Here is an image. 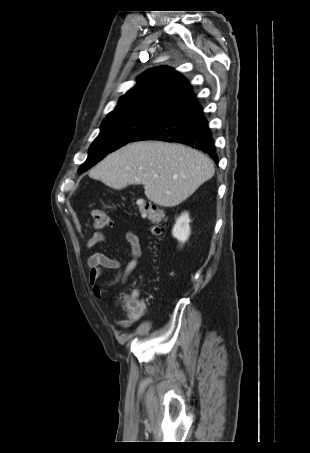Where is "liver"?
<instances>
[{"label": "liver", "instance_id": "obj_1", "mask_svg": "<svg viewBox=\"0 0 310 453\" xmlns=\"http://www.w3.org/2000/svg\"><path fill=\"white\" fill-rule=\"evenodd\" d=\"M214 172L213 161L200 151L175 143L139 141L106 156L89 176L116 190L143 184L150 201L174 207L211 179Z\"/></svg>", "mask_w": 310, "mask_h": 453}]
</instances>
